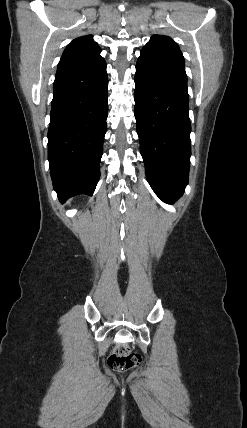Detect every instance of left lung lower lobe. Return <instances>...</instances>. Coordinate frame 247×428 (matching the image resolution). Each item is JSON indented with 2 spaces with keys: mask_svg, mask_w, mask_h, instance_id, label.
I'll use <instances>...</instances> for the list:
<instances>
[{
  "mask_svg": "<svg viewBox=\"0 0 247 428\" xmlns=\"http://www.w3.org/2000/svg\"><path fill=\"white\" fill-rule=\"evenodd\" d=\"M135 118L148 182L172 203L188 184L189 95L184 61L143 48L136 64Z\"/></svg>",
  "mask_w": 247,
  "mask_h": 428,
  "instance_id": "1",
  "label": "left lung lower lobe"
}]
</instances>
